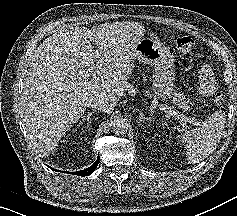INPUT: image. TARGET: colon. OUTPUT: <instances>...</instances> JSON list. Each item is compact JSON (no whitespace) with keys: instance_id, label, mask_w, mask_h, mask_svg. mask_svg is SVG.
Wrapping results in <instances>:
<instances>
[{"instance_id":"1","label":"colon","mask_w":237,"mask_h":216,"mask_svg":"<svg viewBox=\"0 0 237 216\" xmlns=\"http://www.w3.org/2000/svg\"><path fill=\"white\" fill-rule=\"evenodd\" d=\"M194 40L189 36H179L175 40V46L178 51L187 54L192 51L194 47ZM225 100L223 93H217L214 96V102L218 105L222 104Z\"/></svg>"}]
</instances>
